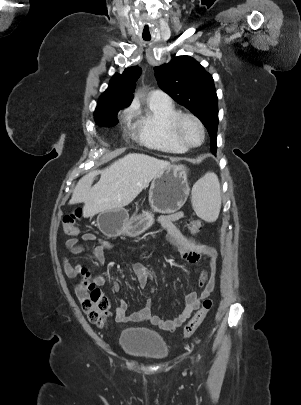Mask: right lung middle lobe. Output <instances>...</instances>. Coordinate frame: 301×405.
<instances>
[{
	"instance_id": "1",
	"label": "right lung middle lobe",
	"mask_w": 301,
	"mask_h": 405,
	"mask_svg": "<svg viewBox=\"0 0 301 405\" xmlns=\"http://www.w3.org/2000/svg\"><path fill=\"white\" fill-rule=\"evenodd\" d=\"M119 110L116 111H100L96 110L94 113V118L95 121L100 125V126H114L117 124V113Z\"/></svg>"
}]
</instances>
